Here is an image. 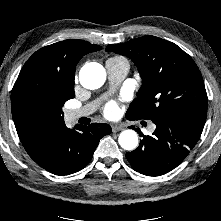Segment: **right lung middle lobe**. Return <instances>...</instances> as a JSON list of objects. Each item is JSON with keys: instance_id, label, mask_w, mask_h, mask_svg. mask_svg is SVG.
Instances as JSON below:
<instances>
[{"instance_id": "obj_1", "label": "right lung middle lobe", "mask_w": 221, "mask_h": 221, "mask_svg": "<svg viewBox=\"0 0 221 221\" xmlns=\"http://www.w3.org/2000/svg\"><path fill=\"white\" fill-rule=\"evenodd\" d=\"M74 97L73 79L49 69H22L11 94L12 116L41 128L60 126L64 123L62 107Z\"/></svg>"}]
</instances>
